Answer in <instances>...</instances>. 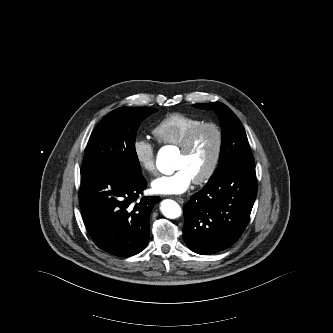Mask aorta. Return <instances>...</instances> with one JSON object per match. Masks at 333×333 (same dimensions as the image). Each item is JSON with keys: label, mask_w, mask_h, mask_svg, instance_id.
Here are the masks:
<instances>
[{"label": "aorta", "mask_w": 333, "mask_h": 333, "mask_svg": "<svg viewBox=\"0 0 333 333\" xmlns=\"http://www.w3.org/2000/svg\"><path fill=\"white\" fill-rule=\"evenodd\" d=\"M174 159L175 154L172 151V147L165 146L162 147L157 155L156 165L159 171L163 174L170 175L174 172ZM161 212L162 214L169 219L178 218L182 211L181 207L177 202L171 199H166L161 202Z\"/></svg>", "instance_id": "obj_1"}]
</instances>
